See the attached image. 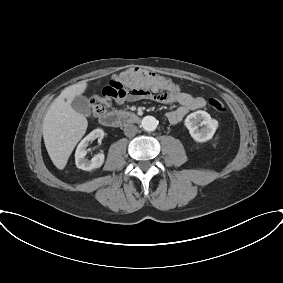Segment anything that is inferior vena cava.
<instances>
[{
    "instance_id": "inferior-vena-cava-1",
    "label": "inferior vena cava",
    "mask_w": 283,
    "mask_h": 283,
    "mask_svg": "<svg viewBox=\"0 0 283 283\" xmlns=\"http://www.w3.org/2000/svg\"><path fill=\"white\" fill-rule=\"evenodd\" d=\"M138 132V128L133 124H128L124 127V134L128 137L135 136Z\"/></svg>"
}]
</instances>
